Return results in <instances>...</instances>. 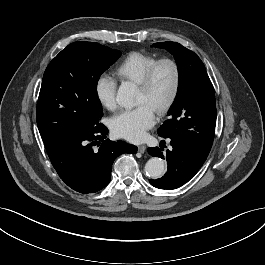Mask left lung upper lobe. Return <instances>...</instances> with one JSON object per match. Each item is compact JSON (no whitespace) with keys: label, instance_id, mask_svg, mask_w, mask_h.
<instances>
[{"label":"left lung upper lobe","instance_id":"5c2ea615","mask_svg":"<svg viewBox=\"0 0 265 265\" xmlns=\"http://www.w3.org/2000/svg\"><path fill=\"white\" fill-rule=\"evenodd\" d=\"M152 47L173 54L179 74L176 98L158 135L187 143L207 158L214 139L216 103L204 64L194 52L176 42L155 43Z\"/></svg>","mask_w":265,"mask_h":265}]
</instances>
